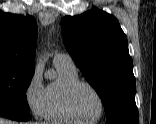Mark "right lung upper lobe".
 <instances>
[{"label": "right lung upper lobe", "mask_w": 156, "mask_h": 124, "mask_svg": "<svg viewBox=\"0 0 156 124\" xmlns=\"http://www.w3.org/2000/svg\"><path fill=\"white\" fill-rule=\"evenodd\" d=\"M36 40L34 17L0 11V65L35 70Z\"/></svg>", "instance_id": "right-lung-upper-lobe-1"}]
</instances>
